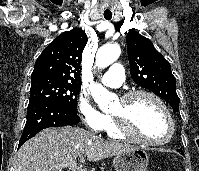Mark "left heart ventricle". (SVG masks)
Here are the masks:
<instances>
[{
  "label": "left heart ventricle",
  "mask_w": 199,
  "mask_h": 171,
  "mask_svg": "<svg viewBox=\"0 0 199 171\" xmlns=\"http://www.w3.org/2000/svg\"><path fill=\"white\" fill-rule=\"evenodd\" d=\"M119 100L112 113L122 110ZM128 115L134 129L141 135L152 140H165L169 135L168 119L163 109L151 98L138 96L130 101Z\"/></svg>",
  "instance_id": "obj_1"
}]
</instances>
